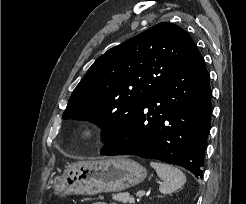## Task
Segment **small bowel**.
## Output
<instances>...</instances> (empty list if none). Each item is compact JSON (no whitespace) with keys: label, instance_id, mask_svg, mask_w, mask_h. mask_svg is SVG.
Segmentation results:
<instances>
[{"label":"small bowel","instance_id":"1","mask_svg":"<svg viewBox=\"0 0 246 204\" xmlns=\"http://www.w3.org/2000/svg\"><path fill=\"white\" fill-rule=\"evenodd\" d=\"M93 204H108V203H105V202H96V203H93ZM110 204H116V203H110Z\"/></svg>","mask_w":246,"mask_h":204}]
</instances>
